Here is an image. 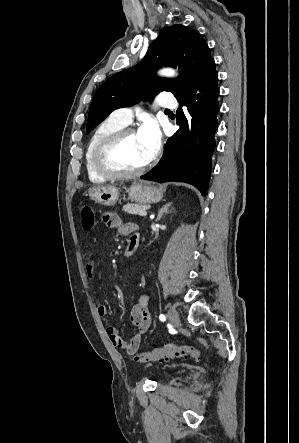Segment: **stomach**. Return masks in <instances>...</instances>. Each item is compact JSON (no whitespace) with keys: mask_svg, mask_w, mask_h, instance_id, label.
<instances>
[{"mask_svg":"<svg viewBox=\"0 0 299 443\" xmlns=\"http://www.w3.org/2000/svg\"><path fill=\"white\" fill-rule=\"evenodd\" d=\"M129 199L140 204L156 203L162 199V192L147 182H135L127 190ZM119 190L115 186H93L88 190L89 197L104 206L114 205L119 199Z\"/></svg>","mask_w":299,"mask_h":443,"instance_id":"stomach-1","label":"stomach"}]
</instances>
